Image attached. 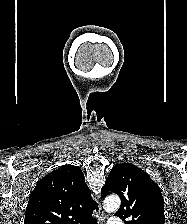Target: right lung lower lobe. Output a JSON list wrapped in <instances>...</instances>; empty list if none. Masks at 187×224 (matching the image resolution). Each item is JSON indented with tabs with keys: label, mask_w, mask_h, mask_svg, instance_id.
Segmentation results:
<instances>
[{
	"label": "right lung lower lobe",
	"mask_w": 187,
	"mask_h": 224,
	"mask_svg": "<svg viewBox=\"0 0 187 224\" xmlns=\"http://www.w3.org/2000/svg\"><path fill=\"white\" fill-rule=\"evenodd\" d=\"M93 224H97V221L93 222Z\"/></svg>",
	"instance_id": "98d812e1"
}]
</instances>
